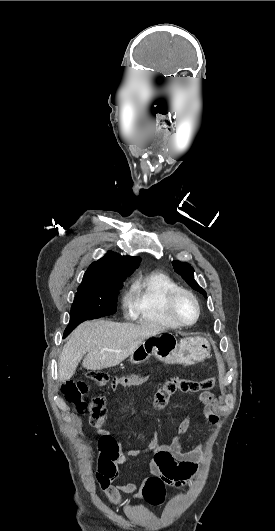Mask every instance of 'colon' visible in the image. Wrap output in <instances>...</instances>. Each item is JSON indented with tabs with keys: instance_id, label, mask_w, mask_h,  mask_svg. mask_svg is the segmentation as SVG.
Returning a JSON list of instances; mask_svg holds the SVG:
<instances>
[{
	"instance_id": "1",
	"label": "colon",
	"mask_w": 275,
	"mask_h": 531,
	"mask_svg": "<svg viewBox=\"0 0 275 531\" xmlns=\"http://www.w3.org/2000/svg\"><path fill=\"white\" fill-rule=\"evenodd\" d=\"M110 377L112 376L96 371L86 375L83 380H70L62 385L63 395L74 404L76 411L80 414L87 411L88 405L82 400V396L90 389L91 394L95 396L90 406L91 423L95 428L102 427L104 413L108 408L107 397L103 394L108 392L107 384ZM214 386L215 382L212 377L202 379L171 377L165 381H159L157 391L151 394L150 404L154 409L159 410L164 408L176 393H204L211 391ZM148 481L141 490V495L151 503V506H158L155 502L163 499L165 494L163 483L155 474L150 475Z\"/></svg>"
}]
</instances>
